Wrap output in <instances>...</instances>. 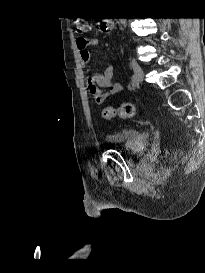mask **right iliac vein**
I'll return each instance as SVG.
<instances>
[{
  "label": "right iliac vein",
  "mask_w": 205,
  "mask_h": 273,
  "mask_svg": "<svg viewBox=\"0 0 205 273\" xmlns=\"http://www.w3.org/2000/svg\"><path fill=\"white\" fill-rule=\"evenodd\" d=\"M131 65H132L134 76L136 78L137 83L141 84L144 79V73L141 66L135 60H132Z\"/></svg>",
  "instance_id": "obj_1"
}]
</instances>
